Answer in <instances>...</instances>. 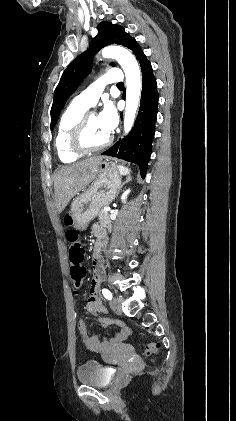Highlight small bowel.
<instances>
[{"mask_svg": "<svg viewBox=\"0 0 236 421\" xmlns=\"http://www.w3.org/2000/svg\"><path fill=\"white\" fill-rule=\"evenodd\" d=\"M101 228H103V227L100 226V225H94L93 226V233L95 234ZM96 306L99 307V308H102V304H101L99 298L97 297L96 285L93 284L91 286V289H90V299H89V302H88V310H90V311L94 310V307H96ZM79 327H80V329L84 328L85 327L84 323L81 322L79 324ZM120 327H121V333L122 334L127 333V328L124 325L120 324ZM90 347H92V346H90Z\"/></svg>", "mask_w": 236, "mask_h": 421, "instance_id": "small-bowel-1", "label": "small bowel"}]
</instances>
